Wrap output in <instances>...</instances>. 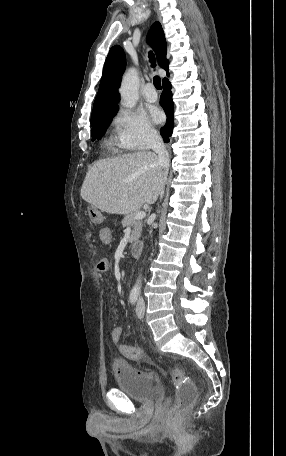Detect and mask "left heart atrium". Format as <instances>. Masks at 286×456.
I'll list each match as a JSON object with an SVG mask.
<instances>
[{
  "instance_id": "obj_1",
  "label": "left heart atrium",
  "mask_w": 286,
  "mask_h": 456,
  "mask_svg": "<svg viewBox=\"0 0 286 456\" xmlns=\"http://www.w3.org/2000/svg\"><path fill=\"white\" fill-rule=\"evenodd\" d=\"M149 114H150V117H151L153 122L160 123V122L163 121V114L157 108H151L149 110Z\"/></svg>"
}]
</instances>
